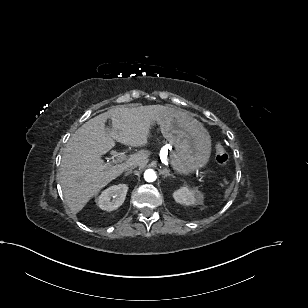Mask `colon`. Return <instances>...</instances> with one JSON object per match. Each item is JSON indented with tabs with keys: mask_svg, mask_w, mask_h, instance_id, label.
I'll list each match as a JSON object with an SVG mask.
<instances>
[{
	"mask_svg": "<svg viewBox=\"0 0 308 308\" xmlns=\"http://www.w3.org/2000/svg\"><path fill=\"white\" fill-rule=\"evenodd\" d=\"M215 159L219 165H225L228 161V154L221 143L216 144Z\"/></svg>",
	"mask_w": 308,
	"mask_h": 308,
	"instance_id": "obj_1",
	"label": "colon"
}]
</instances>
